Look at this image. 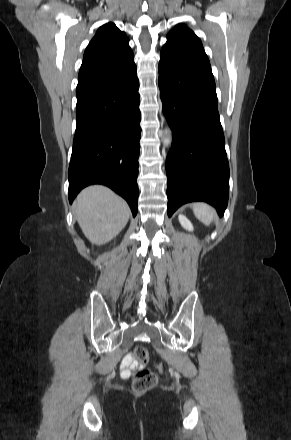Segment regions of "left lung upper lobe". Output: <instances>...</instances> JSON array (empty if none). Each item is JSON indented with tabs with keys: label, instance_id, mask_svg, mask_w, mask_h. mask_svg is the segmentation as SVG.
<instances>
[{
	"label": "left lung upper lobe",
	"instance_id": "5c2ea615",
	"mask_svg": "<svg viewBox=\"0 0 291 440\" xmlns=\"http://www.w3.org/2000/svg\"><path fill=\"white\" fill-rule=\"evenodd\" d=\"M161 57L180 65L212 72L200 39L183 24L175 26L169 32Z\"/></svg>",
	"mask_w": 291,
	"mask_h": 440
}]
</instances>
